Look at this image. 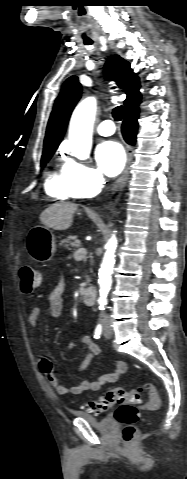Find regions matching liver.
<instances>
[{"label": "liver", "instance_id": "6515ba94", "mask_svg": "<svg viewBox=\"0 0 187 479\" xmlns=\"http://www.w3.org/2000/svg\"><path fill=\"white\" fill-rule=\"evenodd\" d=\"M78 205L69 202H57L51 204L40 215V221L48 228L54 230H66L73 222V214Z\"/></svg>", "mask_w": 187, "mask_h": 479}]
</instances>
